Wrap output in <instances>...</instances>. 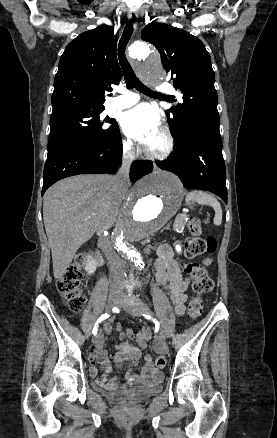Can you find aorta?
Here are the masks:
<instances>
[{
	"mask_svg": "<svg viewBox=\"0 0 277 438\" xmlns=\"http://www.w3.org/2000/svg\"><path fill=\"white\" fill-rule=\"evenodd\" d=\"M129 54L144 61L140 75L146 81L152 82L166 76L160 58L145 43L131 45ZM181 193V182L169 172L156 171L139 180L112 232L114 248L142 268L143 261L137 245L175 215L180 205Z\"/></svg>",
	"mask_w": 277,
	"mask_h": 438,
	"instance_id": "1",
	"label": "aorta"
}]
</instances>
